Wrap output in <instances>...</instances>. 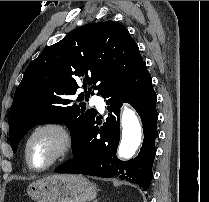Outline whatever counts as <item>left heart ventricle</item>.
<instances>
[{"instance_id": "1", "label": "left heart ventricle", "mask_w": 209, "mask_h": 202, "mask_svg": "<svg viewBox=\"0 0 209 202\" xmlns=\"http://www.w3.org/2000/svg\"><path fill=\"white\" fill-rule=\"evenodd\" d=\"M57 137L50 132L38 134L30 143V156L35 166L47 164L57 148Z\"/></svg>"}]
</instances>
